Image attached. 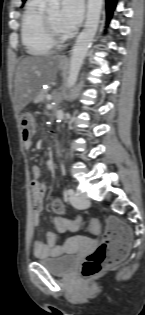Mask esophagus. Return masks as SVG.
I'll list each match as a JSON object with an SVG mask.
<instances>
[{"instance_id":"esophagus-1","label":"esophagus","mask_w":145,"mask_h":315,"mask_svg":"<svg viewBox=\"0 0 145 315\" xmlns=\"http://www.w3.org/2000/svg\"><path fill=\"white\" fill-rule=\"evenodd\" d=\"M61 61H63V62H68V57H67V56L62 57V58H61Z\"/></svg>"}]
</instances>
